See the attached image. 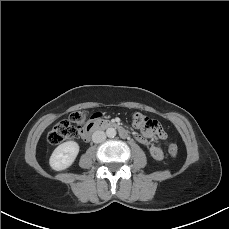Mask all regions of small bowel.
Segmentation results:
<instances>
[{"label": "small bowel", "mask_w": 229, "mask_h": 229, "mask_svg": "<svg viewBox=\"0 0 229 229\" xmlns=\"http://www.w3.org/2000/svg\"><path fill=\"white\" fill-rule=\"evenodd\" d=\"M158 137L163 139L165 134L161 128L160 131H153L151 129H143V135H137L136 138L139 142L149 147V153L155 160H162L163 158V150L158 143L150 144L146 138Z\"/></svg>", "instance_id": "1"}]
</instances>
